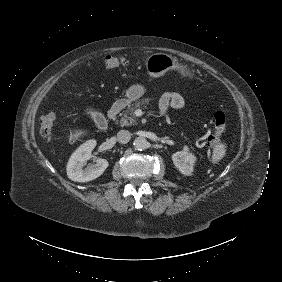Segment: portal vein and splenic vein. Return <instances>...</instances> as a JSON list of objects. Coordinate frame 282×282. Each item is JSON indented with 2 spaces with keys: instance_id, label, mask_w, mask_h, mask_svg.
Listing matches in <instances>:
<instances>
[{
  "instance_id": "obj_1",
  "label": "portal vein and splenic vein",
  "mask_w": 282,
  "mask_h": 282,
  "mask_svg": "<svg viewBox=\"0 0 282 282\" xmlns=\"http://www.w3.org/2000/svg\"><path fill=\"white\" fill-rule=\"evenodd\" d=\"M136 118H143V113H136Z\"/></svg>"
}]
</instances>
